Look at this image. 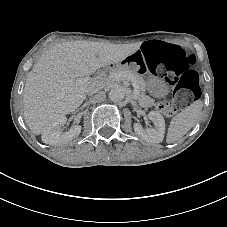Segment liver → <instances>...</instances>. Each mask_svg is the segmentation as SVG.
Returning a JSON list of instances; mask_svg holds the SVG:
<instances>
[{
    "label": "liver",
    "instance_id": "obj_1",
    "mask_svg": "<svg viewBox=\"0 0 227 227\" xmlns=\"http://www.w3.org/2000/svg\"><path fill=\"white\" fill-rule=\"evenodd\" d=\"M139 44H111L76 40L44 50L28 72L23 91L24 120L35 135L61 116L74 112L94 82L98 69L116 64L139 49Z\"/></svg>",
    "mask_w": 227,
    "mask_h": 227
}]
</instances>
